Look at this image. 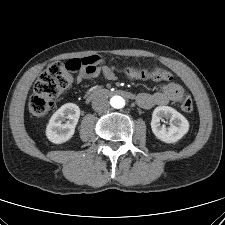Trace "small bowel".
Segmentation results:
<instances>
[{
	"label": "small bowel",
	"mask_w": 225,
	"mask_h": 225,
	"mask_svg": "<svg viewBox=\"0 0 225 225\" xmlns=\"http://www.w3.org/2000/svg\"><path fill=\"white\" fill-rule=\"evenodd\" d=\"M101 76L107 80H114L116 78L112 69L105 65L100 64L97 65L92 71H81L77 77V82L81 83L84 80L91 77ZM131 79H135L136 77L130 76ZM184 94V89L182 85L175 81L169 80L164 85L163 88L154 93H139L136 97L137 104L144 108L149 109L154 106H160L168 104L169 102H179Z\"/></svg>",
	"instance_id": "1"
}]
</instances>
